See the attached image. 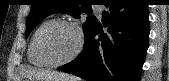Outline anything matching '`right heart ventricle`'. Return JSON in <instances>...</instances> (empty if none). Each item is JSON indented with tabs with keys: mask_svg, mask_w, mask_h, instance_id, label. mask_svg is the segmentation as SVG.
<instances>
[{
	"mask_svg": "<svg viewBox=\"0 0 169 81\" xmlns=\"http://www.w3.org/2000/svg\"><path fill=\"white\" fill-rule=\"evenodd\" d=\"M52 21L53 20H50V19L45 20L35 29V31L31 35V38L28 44V49H27V57H28L29 63L34 66H37V67L45 66L44 62L38 56V53L36 50V41H37V37L39 33L41 32V30Z\"/></svg>",
	"mask_w": 169,
	"mask_h": 81,
	"instance_id": "right-heart-ventricle-1",
	"label": "right heart ventricle"
}]
</instances>
